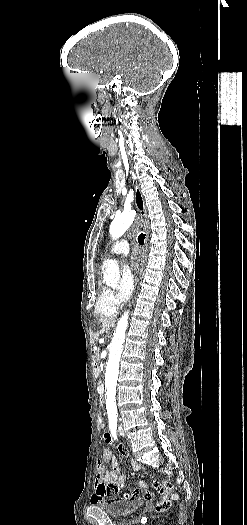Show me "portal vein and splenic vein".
Listing matches in <instances>:
<instances>
[{"label":"portal vein and splenic vein","instance_id":"18ae733b","mask_svg":"<svg viewBox=\"0 0 247 525\" xmlns=\"http://www.w3.org/2000/svg\"><path fill=\"white\" fill-rule=\"evenodd\" d=\"M99 366H100L101 370H104V367H103L104 363H99Z\"/></svg>","mask_w":247,"mask_h":525}]
</instances>
